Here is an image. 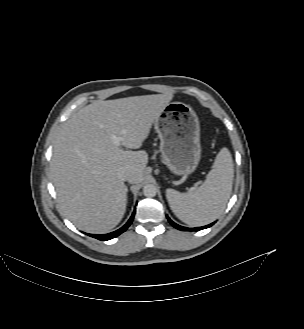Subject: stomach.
Listing matches in <instances>:
<instances>
[{
  "instance_id": "obj_1",
  "label": "stomach",
  "mask_w": 304,
  "mask_h": 329,
  "mask_svg": "<svg viewBox=\"0 0 304 329\" xmlns=\"http://www.w3.org/2000/svg\"><path fill=\"white\" fill-rule=\"evenodd\" d=\"M160 152L168 169L175 175L193 173L201 158L200 124L191 106L169 103L155 120Z\"/></svg>"
}]
</instances>
